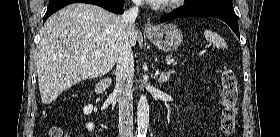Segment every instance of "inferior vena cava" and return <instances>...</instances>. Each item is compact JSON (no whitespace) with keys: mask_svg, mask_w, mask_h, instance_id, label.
Returning <instances> with one entry per match:
<instances>
[{"mask_svg":"<svg viewBox=\"0 0 280 137\" xmlns=\"http://www.w3.org/2000/svg\"><path fill=\"white\" fill-rule=\"evenodd\" d=\"M134 6L120 17L123 33L116 67L115 93L119 104V137H133V94L132 79L134 57L131 35L135 32V20L141 0H133Z\"/></svg>","mask_w":280,"mask_h":137,"instance_id":"obj_1","label":"inferior vena cava"}]
</instances>
